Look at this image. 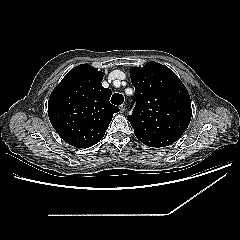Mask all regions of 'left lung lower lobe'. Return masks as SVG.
<instances>
[{
  "label": "left lung lower lobe",
  "mask_w": 240,
  "mask_h": 240,
  "mask_svg": "<svg viewBox=\"0 0 240 240\" xmlns=\"http://www.w3.org/2000/svg\"><path fill=\"white\" fill-rule=\"evenodd\" d=\"M137 137V136H136ZM142 143L149 147H165L171 145L178 139L169 137H137Z\"/></svg>",
  "instance_id": "1"
}]
</instances>
